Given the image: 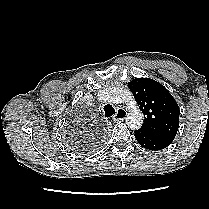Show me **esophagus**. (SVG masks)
Masks as SVG:
<instances>
[{
    "mask_svg": "<svg viewBox=\"0 0 209 209\" xmlns=\"http://www.w3.org/2000/svg\"><path fill=\"white\" fill-rule=\"evenodd\" d=\"M127 116V112L123 108H118L115 115L112 116L114 121L123 120Z\"/></svg>",
    "mask_w": 209,
    "mask_h": 209,
    "instance_id": "obj_1",
    "label": "esophagus"
}]
</instances>
